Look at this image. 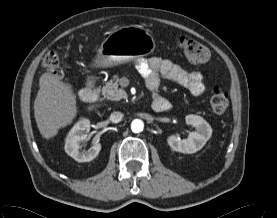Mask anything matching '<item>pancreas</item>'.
<instances>
[{
  "label": "pancreas",
  "mask_w": 277,
  "mask_h": 218,
  "mask_svg": "<svg viewBox=\"0 0 277 218\" xmlns=\"http://www.w3.org/2000/svg\"><path fill=\"white\" fill-rule=\"evenodd\" d=\"M119 77L114 75L111 80H109L102 87V94L105 98L110 100H121L127 98V93L124 89L119 88Z\"/></svg>",
  "instance_id": "obj_1"
}]
</instances>
